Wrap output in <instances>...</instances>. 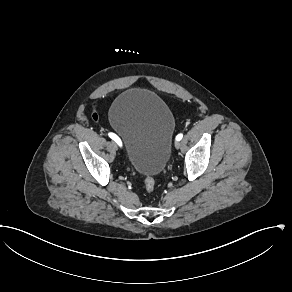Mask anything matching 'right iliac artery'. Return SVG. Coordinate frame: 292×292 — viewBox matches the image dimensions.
<instances>
[{
	"label": "right iliac artery",
	"instance_id": "obj_1",
	"mask_svg": "<svg viewBox=\"0 0 292 292\" xmlns=\"http://www.w3.org/2000/svg\"><path fill=\"white\" fill-rule=\"evenodd\" d=\"M108 135H109V137H110L111 139H113V140H114L119 146H122V142H121L120 138H119L116 134H114V133H109Z\"/></svg>",
	"mask_w": 292,
	"mask_h": 292
}]
</instances>
